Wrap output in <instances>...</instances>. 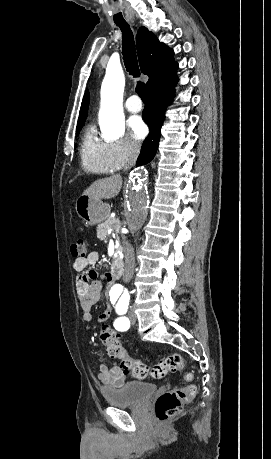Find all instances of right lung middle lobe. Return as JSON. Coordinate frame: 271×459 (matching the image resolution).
<instances>
[{
	"instance_id": "dd1d6c3e",
	"label": "right lung middle lobe",
	"mask_w": 271,
	"mask_h": 459,
	"mask_svg": "<svg viewBox=\"0 0 271 459\" xmlns=\"http://www.w3.org/2000/svg\"><path fill=\"white\" fill-rule=\"evenodd\" d=\"M84 121L85 120L78 121L76 133H78L81 130Z\"/></svg>"
}]
</instances>
